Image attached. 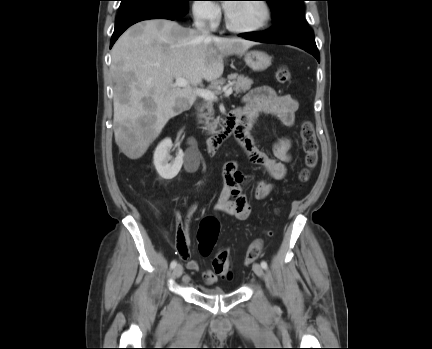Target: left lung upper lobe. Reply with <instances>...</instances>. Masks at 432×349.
I'll return each mask as SVG.
<instances>
[{"mask_svg": "<svg viewBox=\"0 0 432 349\" xmlns=\"http://www.w3.org/2000/svg\"><path fill=\"white\" fill-rule=\"evenodd\" d=\"M265 1L269 3L276 26L308 27V24L304 18L303 1L305 0Z\"/></svg>", "mask_w": 432, "mask_h": 349, "instance_id": "5c2ea615", "label": "left lung upper lobe"}]
</instances>
